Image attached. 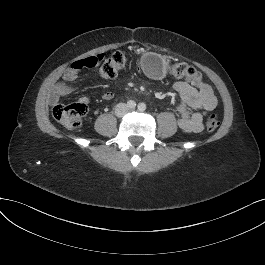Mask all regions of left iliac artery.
I'll use <instances>...</instances> for the list:
<instances>
[{"label":"left iliac artery","mask_w":265,"mask_h":265,"mask_svg":"<svg viewBox=\"0 0 265 265\" xmlns=\"http://www.w3.org/2000/svg\"><path fill=\"white\" fill-rule=\"evenodd\" d=\"M146 104L145 103H140L139 105H138V109L140 110V111H145L146 110Z\"/></svg>","instance_id":"1"}]
</instances>
